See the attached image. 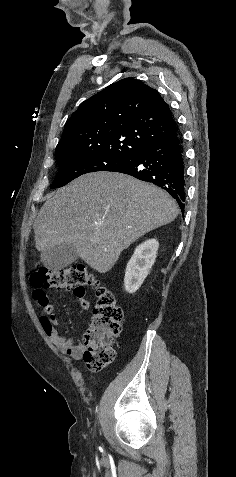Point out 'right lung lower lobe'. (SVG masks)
Masks as SVG:
<instances>
[{
    "instance_id": "obj_1",
    "label": "right lung lower lobe",
    "mask_w": 236,
    "mask_h": 477,
    "mask_svg": "<svg viewBox=\"0 0 236 477\" xmlns=\"http://www.w3.org/2000/svg\"><path fill=\"white\" fill-rule=\"evenodd\" d=\"M113 172L128 174L161 187L178 202L182 213L184 212V158L177 130L166 140L132 156Z\"/></svg>"
}]
</instances>
